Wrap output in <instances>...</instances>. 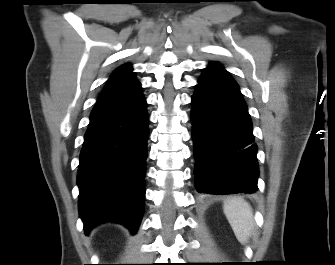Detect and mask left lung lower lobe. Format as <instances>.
I'll return each instance as SVG.
<instances>
[{
	"instance_id": "0a47b994",
	"label": "left lung lower lobe",
	"mask_w": 335,
	"mask_h": 265,
	"mask_svg": "<svg viewBox=\"0 0 335 265\" xmlns=\"http://www.w3.org/2000/svg\"><path fill=\"white\" fill-rule=\"evenodd\" d=\"M195 184L199 193L257 191L252 122L236 81L217 63L203 70L192 97Z\"/></svg>"
}]
</instances>
